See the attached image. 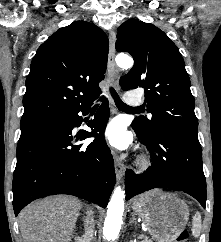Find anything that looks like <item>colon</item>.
Here are the masks:
<instances>
[{
  "mask_svg": "<svg viewBox=\"0 0 221 242\" xmlns=\"http://www.w3.org/2000/svg\"><path fill=\"white\" fill-rule=\"evenodd\" d=\"M175 242H189L187 231H185V230L181 231L177 235Z\"/></svg>",
  "mask_w": 221,
  "mask_h": 242,
  "instance_id": "colon-1",
  "label": "colon"
}]
</instances>
